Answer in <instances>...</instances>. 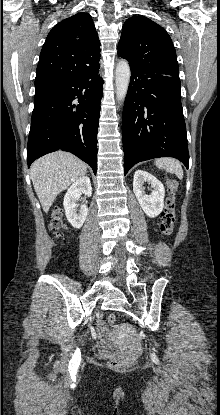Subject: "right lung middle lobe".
Instances as JSON below:
<instances>
[{
    "instance_id": "1",
    "label": "right lung middle lobe",
    "mask_w": 220,
    "mask_h": 415,
    "mask_svg": "<svg viewBox=\"0 0 220 415\" xmlns=\"http://www.w3.org/2000/svg\"><path fill=\"white\" fill-rule=\"evenodd\" d=\"M57 86L58 85H56V84L35 86L36 92H35V95H34V99L54 92L57 89Z\"/></svg>"
}]
</instances>
